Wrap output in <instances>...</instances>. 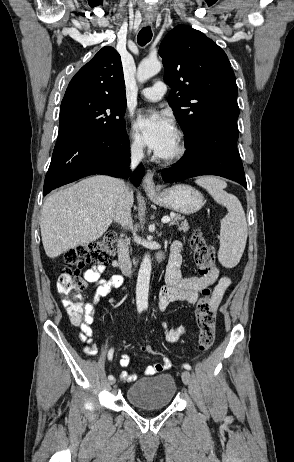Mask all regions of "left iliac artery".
I'll return each mask as SVG.
<instances>
[{"label":"left iliac artery","instance_id":"obj_1","mask_svg":"<svg viewBox=\"0 0 294 462\" xmlns=\"http://www.w3.org/2000/svg\"><path fill=\"white\" fill-rule=\"evenodd\" d=\"M183 367L187 370H191V366L189 364H184Z\"/></svg>","mask_w":294,"mask_h":462}]
</instances>
